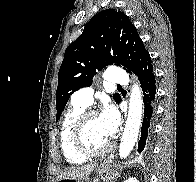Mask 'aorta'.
Segmentation results:
<instances>
[{"label":"aorta","mask_w":196,"mask_h":182,"mask_svg":"<svg viewBox=\"0 0 196 182\" xmlns=\"http://www.w3.org/2000/svg\"><path fill=\"white\" fill-rule=\"evenodd\" d=\"M142 106L141 89L138 83H135L131 88L128 115L120 142V158H126L137 141L141 126Z\"/></svg>","instance_id":"aorta-1"}]
</instances>
